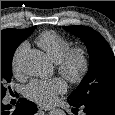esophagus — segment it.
<instances>
[{
	"instance_id": "34e87169",
	"label": "esophagus",
	"mask_w": 115,
	"mask_h": 115,
	"mask_svg": "<svg viewBox=\"0 0 115 115\" xmlns=\"http://www.w3.org/2000/svg\"><path fill=\"white\" fill-rule=\"evenodd\" d=\"M39 110H43V111H49L50 108L49 107H45V106H38Z\"/></svg>"
}]
</instances>
